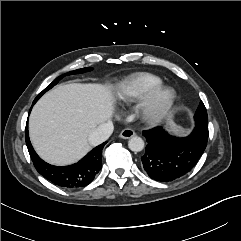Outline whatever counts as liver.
Instances as JSON below:
<instances>
[{
  "label": "liver",
  "mask_w": 241,
  "mask_h": 241,
  "mask_svg": "<svg viewBox=\"0 0 241 241\" xmlns=\"http://www.w3.org/2000/svg\"><path fill=\"white\" fill-rule=\"evenodd\" d=\"M114 111L107 87L98 84L60 85L33 107L29 134L39 156L54 165H69L91 149L88 137Z\"/></svg>",
  "instance_id": "obj_1"
}]
</instances>
